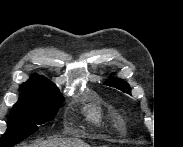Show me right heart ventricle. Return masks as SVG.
I'll return each instance as SVG.
<instances>
[{"label": "right heart ventricle", "instance_id": "1", "mask_svg": "<svg viewBox=\"0 0 183 147\" xmlns=\"http://www.w3.org/2000/svg\"><path fill=\"white\" fill-rule=\"evenodd\" d=\"M88 117L96 123H101L103 120V111L97 106H92L88 110Z\"/></svg>", "mask_w": 183, "mask_h": 147}]
</instances>
